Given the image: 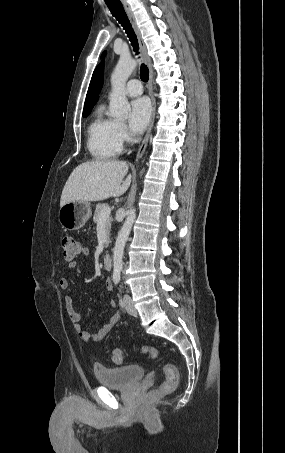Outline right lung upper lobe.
I'll list each match as a JSON object with an SVG mask.
<instances>
[{
  "label": "right lung upper lobe",
  "mask_w": 285,
  "mask_h": 453,
  "mask_svg": "<svg viewBox=\"0 0 285 453\" xmlns=\"http://www.w3.org/2000/svg\"><path fill=\"white\" fill-rule=\"evenodd\" d=\"M103 67L104 64L103 62H101V64L97 66L92 75L83 112L91 111L94 104L98 100V94L100 93L103 85Z\"/></svg>",
  "instance_id": "cb5924a9"
}]
</instances>
